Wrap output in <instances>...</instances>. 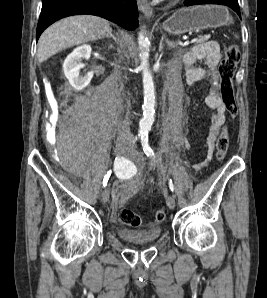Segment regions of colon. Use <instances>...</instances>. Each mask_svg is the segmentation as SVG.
Returning a JSON list of instances; mask_svg holds the SVG:
<instances>
[{
  "label": "colon",
  "instance_id": "1",
  "mask_svg": "<svg viewBox=\"0 0 267 298\" xmlns=\"http://www.w3.org/2000/svg\"><path fill=\"white\" fill-rule=\"evenodd\" d=\"M240 60V50L236 45H230L225 50L223 61L220 65L219 73L221 78V97L222 101L227 107L231 115L236 113V99L233 86V78ZM229 135L226 128H224L219 135L216 142V158L222 161L228 151ZM119 218L122 223L131 227H138L143 224L142 218L129 208H123L119 213ZM166 213L164 210H157L155 219L158 222L164 221Z\"/></svg>",
  "mask_w": 267,
  "mask_h": 298
}]
</instances>
